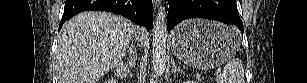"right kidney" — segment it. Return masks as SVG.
<instances>
[{
  "label": "right kidney",
  "instance_id": "obj_1",
  "mask_svg": "<svg viewBox=\"0 0 307 83\" xmlns=\"http://www.w3.org/2000/svg\"><path fill=\"white\" fill-rule=\"evenodd\" d=\"M116 82H117L116 79H113V78L108 81V83H116Z\"/></svg>",
  "mask_w": 307,
  "mask_h": 83
}]
</instances>
